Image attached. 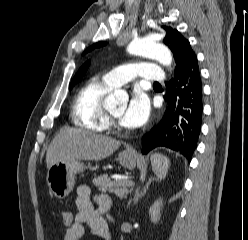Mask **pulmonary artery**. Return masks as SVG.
Segmentation results:
<instances>
[{"instance_id": "1", "label": "pulmonary artery", "mask_w": 248, "mask_h": 240, "mask_svg": "<svg viewBox=\"0 0 248 240\" xmlns=\"http://www.w3.org/2000/svg\"><path fill=\"white\" fill-rule=\"evenodd\" d=\"M139 78L144 81L163 82L165 76L156 64L133 62L108 71L103 79L111 86H121L129 81Z\"/></svg>"}]
</instances>
